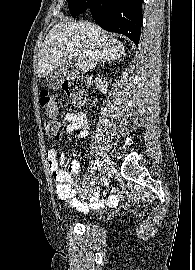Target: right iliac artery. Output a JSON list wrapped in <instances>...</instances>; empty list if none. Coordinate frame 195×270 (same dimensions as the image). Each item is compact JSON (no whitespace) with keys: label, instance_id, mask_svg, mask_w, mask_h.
Instances as JSON below:
<instances>
[{"label":"right iliac artery","instance_id":"82829eb1","mask_svg":"<svg viewBox=\"0 0 195 270\" xmlns=\"http://www.w3.org/2000/svg\"><path fill=\"white\" fill-rule=\"evenodd\" d=\"M99 166H100L99 161L96 160V161H95V164H94V167H93V170H92V174L95 173V171L99 168Z\"/></svg>","mask_w":195,"mask_h":270}]
</instances>
